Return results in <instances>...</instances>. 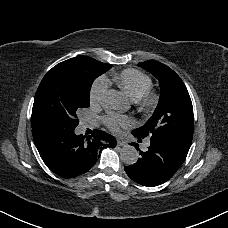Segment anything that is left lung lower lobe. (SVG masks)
I'll return each instance as SVG.
<instances>
[{
	"instance_id": "1",
	"label": "left lung lower lobe",
	"mask_w": 228,
	"mask_h": 228,
	"mask_svg": "<svg viewBox=\"0 0 228 228\" xmlns=\"http://www.w3.org/2000/svg\"><path fill=\"white\" fill-rule=\"evenodd\" d=\"M140 142L141 137L132 132ZM150 146L147 151H141L138 144L131 143L140 151L141 157L131 165L125 166L127 175L135 182L148 186H158L169 180L184 162L192 141L166 136L151 134Z\"/></svg>"
}]
</instances>
